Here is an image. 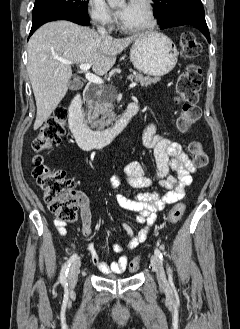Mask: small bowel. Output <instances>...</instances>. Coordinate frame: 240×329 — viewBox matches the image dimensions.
I'll use <instances>...</instances> for the list:
<instances>
[{
	"label": "small bowel",
	"mask_w": 240,
	"mask_h": 329,
	"mask_svg": "<svg viewBox=\"0 0 240 329\" xmlns=\"http://www.w3.org/2000/svg\"><path fill=\"white\" fill-rule=\"evenodd\" d=\"M142 140L145 147L153 150L156 170L152 173L139 162L127 164L123 168L127 182L132 187L144 191L135 197L118 194L116 199L122 208L137 214V222L143 224L144 228L135 231L124 222L123 228L130 237V241L126 246L119 243L113 244L112 249L116 253L134 250L146 240L149 229L155 222L156 213L184 197L185 187L191 184L192 174L196 170L182 147L178 143L160 136L154 123H149L144 127ZM120 183L121 178L113 176L108 185L115 188ZM80 207L81 231L85 237H90L93 233L92 215L86 200H81ZM54 225L61 236H66L67 228L64 222L56 220ZM87 250L95 267L104 274H119L127 268L128 257L126 255H121L117 260L106 263L92 243L87 245Z\"/></svg>",
	"instance_id": "obj_1"
}]
</instances>
